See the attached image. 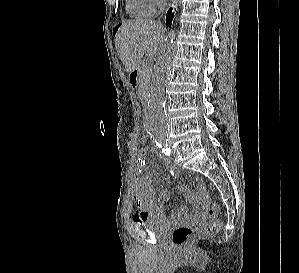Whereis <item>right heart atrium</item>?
I'll return each instance as SVG.
<instances>
[{"mask_svg": "<svg viewBox=\"0 0 299 273\" xmlns=\"http://www.w3.org/2000/svg\"><path fill=\"white\" fill-rule=\"evenodd\" d=\"M146 8L150 12H155L163 3L164 0H142Z\"/></svg>", "mask_w": 299, "mask_h": 273, "instance_id": "right-heart-atrium-1", "label": "right heart atrium"}]
</instances>
